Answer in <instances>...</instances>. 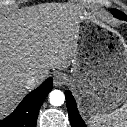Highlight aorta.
Returning <instances> with one entry per match:
<instances>
[{"label":"aorta","mask_w":127,"mask_h":127,"mask_svg":"<svg viewBox=\"0 0 127 127\" xmlns=\"http://www.w3.org/2000/svg\"><path fill=\"white\" fill-rule=\"evenodd\" d=\"M50 103L53 106H61L65 101L64 93L60 90H53L49 94Z\"/></svg>","instance_id":"aorta-1"}]
</instances>
